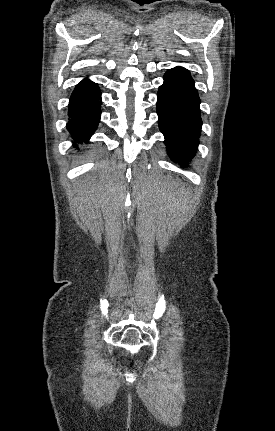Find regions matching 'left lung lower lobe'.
I'll list each match as a JSON object with an SVG mask.
<instances>
[{
  "mask_svg": "<svg viewBox=\"0 0 275 431\" xmlns=\"http://www.w3.org/2000/svg\"><path fill=\"white\" fill-rule=\"evenodd\" d=\"M157 100L158 123L167 153L181 167L195 156L201 134L200 99L189 71L169 69Z\"/></svg>",
  "mask_w": 275,
  "mask_h": 431,
  "instance_id": "left-lung-lower-lobe-1",
  "label": "left lung lower lobe"
}]
</instances>
